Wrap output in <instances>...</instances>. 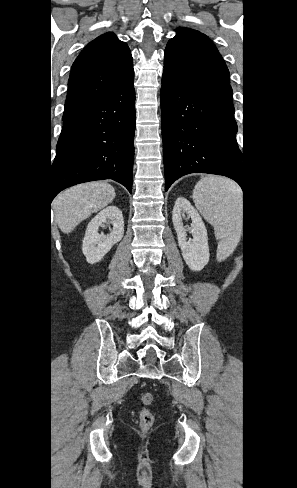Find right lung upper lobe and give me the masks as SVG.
Here are the masks:
<instances>
[{"instance_id":"cb5924a9","label":"right lung upper lobe","mask_w":297,"mask_h":488,"mask_svg":"<svg viewBox=\"0 0 297 488\" xmlns=\"http://www.w3.org/2000/svg\"><path fill=\"white\" fill-rule=\"evenodd\" d=\"M134 75L126 43L108 32L91 41L72 65L64 114L104 95Z\"/></svg>"}]
</instances>
